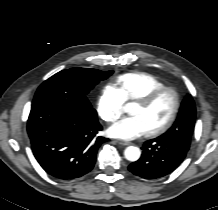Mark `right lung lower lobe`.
<instances>
[{
	"label": "right lung lower lobe",
	"instance_id": "98d812e1",
	"mask_svg": "<svg viewBox=\"0 0 218 210\" xmlns=\"http://www.w3.org/2000/svg\"><path fill=\"white\" fill-rule=\"evenodd\" d=\"M102 126L97 114L55 101L32 104L27 122L33 154L52 177L79 178L92 170L100 145Z\"/></svg>",
	"mask_w": 218,
	"mask_h": 210
}]
</instances>
